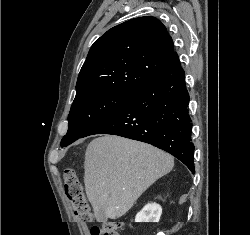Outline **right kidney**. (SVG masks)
<instances>
[{"label":"right kidney","instance_id":"right-kidney-1","mask_svg":"<svg viewBox=\"0 0 250 235\" xmlns=\"http://www.w3.org/2000/svg\"><path fill=\"white\" fill-rule=\"evenodd\" d=\"M162 214V208L159 204L149 203L137 213L135 222H158Z\"/></svg>","mask_w":250,"mask_h":235}]
</instances>
